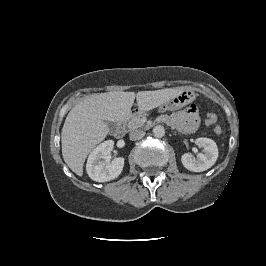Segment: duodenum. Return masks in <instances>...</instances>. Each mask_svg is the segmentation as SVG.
<instances>
[{
  "label": "duodenum",
  "instance_id": "obj_1",
  "mask_svg": "<svg viewBox=\"0 0 266 266\" xmlns=\"http://www.w3.org/2000/svg\"><path fill=\"white\" fill-rule=\"evenodd\" d=\"M123 134H124V126H123L122 123H120V124L117 126L116 130H115V136H116V137H122Z\"/></svg>",
  "mask_w": 266,
  "mask_h": 266
}]
</instances>
